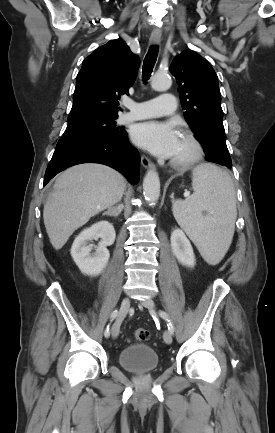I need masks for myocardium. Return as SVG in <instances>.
<instances>
[{
	"mask_svg": "<svg viewBox=\"0 0 275 433\" xmlns=\"http://www.w3.org/2000/svg\"><path fill=\"white\" fill-rule=\"evenodd\" d=\"M182 136L189 142L192 148L191 154L182 160L171 159L170 165L178 170H187L196 165L203 156V146L198 137L190 130L182 132Z\"/></svg>",
	"mask_w": 275,
	"mask_h": 433,
	"instance_id": "1",
	"label": "myocardium"
}]
</instances>
